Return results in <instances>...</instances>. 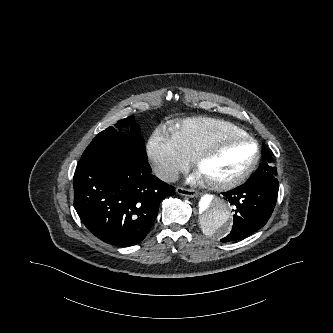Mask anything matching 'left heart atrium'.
I'll return each instance as SVG.
<instances>
[{
	"label": "left heart atrium",
	"mask_w": 333,
	"mask_h": 333,
	"mask_svg": "<svg viewBox=\"0 0 333 333\" xmlns=\"http://www.w3.org/2000/svg\"><path fill=\"white\" fill-rule=\"evenodd\" d=\"M190 180H191V181H194V180H195V178H194V177H192Z\"/></svg>",
	"instance_id": "left-heart-atrium-1"
}]
</instances>
